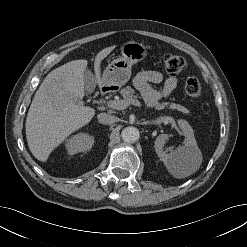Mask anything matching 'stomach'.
<instances>
[{"label": "stomach", "mask_w": 247, "mask_h": 247, "mask_svg": "<svg viewBox=\"0 0 247 247\" xmlns=\"http://www.w3.org/2000/svg\"><path fill=\"white\" fill-rule=\"evenodd\" d=\"M121 56L113 59L103 72V82L106 87L120 88L131 77L132 65L147 57V47L143 43L127 41L120 46Z\"/></svg>", "instance_id": "0dacf381"}]
</instances>
